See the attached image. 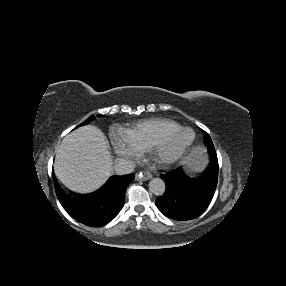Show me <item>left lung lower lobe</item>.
Instances as JSON below:
<instances>
[{
  "mask_svg": "<svg viewBox=\"0 0 286 286\" xmlns=\"http://www.w3.org/2000/svg\"><path fill=\"white\" fill-rule=\"evenodd\" d=\"M210 164L200 178H189L181 167L161 175L166 192L156 199L157 208L175 220L199 217L210 204L218 180V160L215 149L209 151Z\"/></svg>",
  "mask_w": 286,
  "mask_h": 286,
  "instance_id": "1",
  "label": "left lung lower lobe"
}]
</instances>
